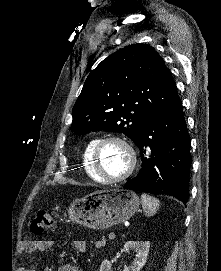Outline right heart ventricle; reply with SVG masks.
<instances>
[{
	"instance_id": "1",
	"label": "right heart ventricle",
	"mask_w": 221,
	"mask_h": 271,
	"mask_svg": "<svg viewBox=\"0 0 221 271\" xmlns=\"http://www.w3.org/2000/svg\"><path fill=\"white\" fill-rule=\"evenodd\" d=\"M96 137L91 136L89 137L82 149V161L83 166H85V171L88 172L87 174L91 177V179H98V183H107V178H102V174H99L96 171V167H99V162H96L95 155L92 154V150L89 149H96L97 144H91Z\"/></svg>"
}]
</instances>
